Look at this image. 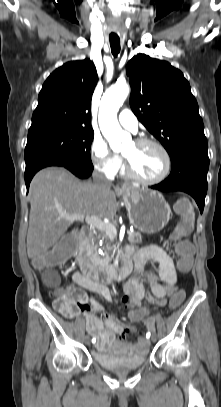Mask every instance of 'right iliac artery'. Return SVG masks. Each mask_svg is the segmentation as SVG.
Instances as JSON below:
<instances>
[{
  "instance_id": "1",
  "label": "right iliac artery",
  "mask_w": 221,
  "mask_h": 407,
  "mask_svg": "<svg viewBox=\"0 0 221 407\" xmlns=\"http://www.w3.org/2000/svg\"><path fill=\"white\" fill-rule=\"evenodd\" d=\"M92 342L95 343V338L92 339Z\"/></svg>"
}]
</instances>
